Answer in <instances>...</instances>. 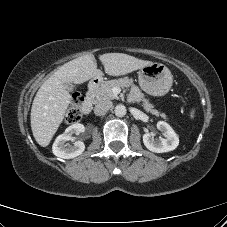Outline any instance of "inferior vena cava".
Segmentation results:
<instances>
[{"label": "inferior vena cava", "instance_id": "602c4592", "mask_svg": "<svg viewBox=\"0 0 227 227\" xmlns=\"http://www.w3.org/2000/svg\"><path fill=\"white\" fill-rule=\"evenodd\" d=\"M112 107H113V104H112L111 101L103 100V101H100L96 104L95 109H94V113L97 116H102V115H105L106 112L109 111Z\"/></svg>", "mask_w": 227, "mask_h": 227}]
</instances>
